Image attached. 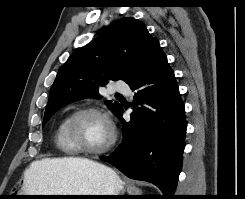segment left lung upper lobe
Here are the masks:
<instances>
[{"mask_svg":"<svg viewBox=\"0 0 245 199\" xmlns=\"http://www.w3.org/2000/svg\"><path fill=\"white\" fill-rule=\"evenodd\" d=\"M161 49L144 24L128 17L105 28L89 45L73 53L59 69L44 113L43 126L60 108L88 97H100L109 80L127 84L141 77ZM118 115L122 105L106 101Z\"/></svg>","mask_w":245,"mask_h":199,"instance_id":"1","label":"left lung upper lobe"}]
</instances>
